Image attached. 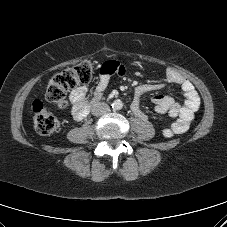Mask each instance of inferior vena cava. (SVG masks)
Here are the masks:
<instances>
[{
	"instance_id": "inferior-vena-cava-1",
	"label": "inferior vena cava",
	"mask_w": 227,
	"mask_h": 227,
	"mask_svg": "<svg viewBox=\"0 0 227 227\" xmlns=\"http://www.w3.org/2000/svg\"><path fill=\"white\" fill-rule=\"evenodd\" d=\"M109 111H110L109 105L104 102H97L92 107V114L95 116L105 115Z\"/></svg>"
}]
</instances>
